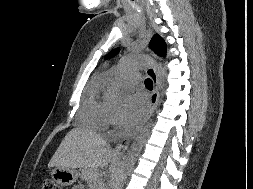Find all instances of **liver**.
<instances>
[{
    "instance_id": "liver-1",
    "label": "liver",
    "mask_w": 253,
    "mask_h": 189,
    "mask_svg": "<svg viewBox=\"0 0 253 189\" xmlns=\"http://www.w3.org/2000/svg\"><path fill=\"white\" fill-rule=\"evenodd\" d=\"M116 157L100 135L76 127L66 134L48 166L79 168L90 189H99L102 183L100 169L107 167Z\"/></svg>"
}]
</instances>
